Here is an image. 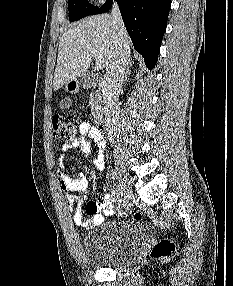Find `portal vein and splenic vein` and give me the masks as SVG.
Instances as JSON below:
<instances>
[{
  "instance_id": "1",
  "label": "portal vein and splenic vein",
  "mask_w": 233,
  "mask_h": 286,
  "mask_svg": "<svg viewBox=\"0 0 233 286\" xmlns=\"http://www.w3.org/2000/svg\"><path fill=\"white\" fill-rule=\"evenodd\" d=\"M94 60L97 68L103 69L105 67L104 59L100 55L95 54Z\"/></svg>"
}]
</instances>
